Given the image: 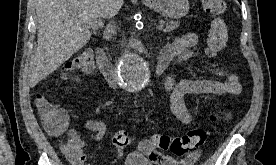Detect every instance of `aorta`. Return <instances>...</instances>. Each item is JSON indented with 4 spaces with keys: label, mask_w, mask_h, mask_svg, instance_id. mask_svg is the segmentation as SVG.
<instances>
[{
    "label": "aorta",
    "mask_w": 276,
    "mask_h": 165,
    "mask_svg": "<svg viewBox=\"0 0 276 165\" xmlns=\"http://www.w3.org/2000/svg\"><path fill=\"white\" fill-rule=\"evenodd\" d=\"M119 75L124 87L140 89L148 75L147 63L134 51H128L121 59Z\"/></svg>",
    "instance_id": "aorta-1"
}]
</instances>
